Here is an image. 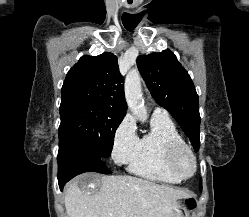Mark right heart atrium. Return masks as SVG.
I'll list each match as a JSON object with an SVG mask.
<instances>
[{
    "instance_id": "right-heart-atrium-1",
    "label": "right heart atrium",
    "mask_w": 249,
    "mask_h": 217,
    "mask_svg": "<svg viewBox=\"0 0 249 217\" xmlns=\"http://www.w3.org/2000/svg\"><path fill=\"white\" fill-rule=\"evenodd\" d=\"M137 128L133 118L125 116L115 129L112 141V158L117 165L130 162L138 146Z\"/></svg>"
}]
</instances>
